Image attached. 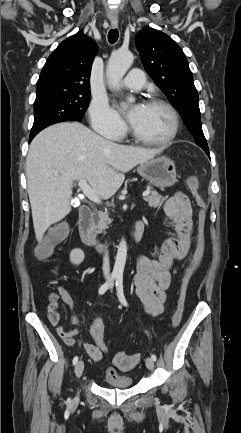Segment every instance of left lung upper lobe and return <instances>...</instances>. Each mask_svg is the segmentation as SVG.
Here are the masks:
<instances>
[{
  "label": "left lung upper lobe",
  "mask_w": 241,
  "mask_h": 433,
  "mask_svg": "<svg viewBox=\"0 0 241 433\" xmlns=\"http://www.w3.org/2000/svg\"><path fill=\"white\" fill-rule=\"evenodd\" d=\"M142 64L168 99L178 108L196 144L208 145L201 126L199 97L182 49L167 34L145 27L135 38Z\"/></svg>",
  "instance_id": "5c2ea615"
}]
</instances>
